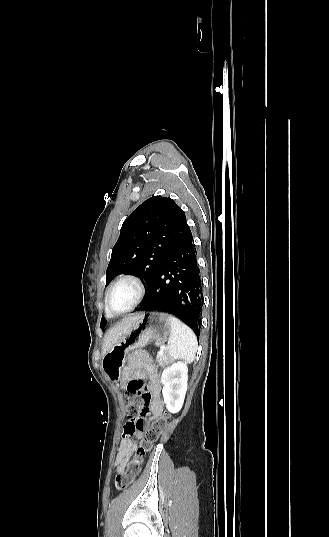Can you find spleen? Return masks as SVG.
I'll use <instances>...</instances> for the list:
<instances>
[{"label":"spleen","mask_w":329,"mask_h":537,"mask_svg":"<svg viewBox=\"0 0 329 537\" xmlns=\"http://www.w3.org/2000/svg\"><path fill=\"white\" fill-rule=\"evenodd\" d=\"M171 332L167 350L173 359H184L192 363L195 359L198 343L193 331L178 318L170 316Z\"/></svg>","instance_id":"obj_1"}]
</instances>
